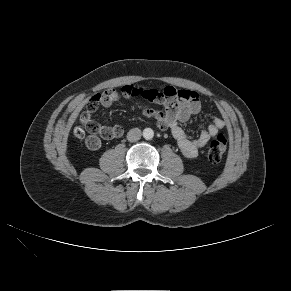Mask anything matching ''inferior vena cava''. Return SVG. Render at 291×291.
Masks as SVG:
<instances>
[{"label":"inferior vena cava","mask_w":291,"mask_h":291,"mask_svg":"<svg viewBox=\"0 0 291 291\" xmlns=\"http://www.w3.org/2000/svg\"><path fill=\"white\" fill-rule=\"evenodd\" d=\"M141 138V130L139 128H133L127 133V139L130 142L138 141Z\"/></svg>","instance_id":"obj_1"}]
</instances>
